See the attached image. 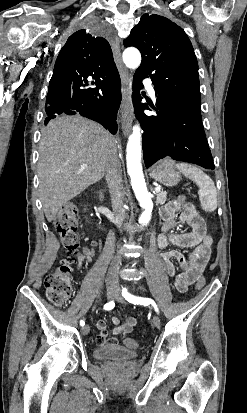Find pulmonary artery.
Listing matches in <instances>:
<instances>
[{
	"label": "pulmonary artery",
	"instance_id": "e3ab8cb5",
	"mask_svg": "<svg viewBox=\"0 0 247 413\" xmlns=\"http://www.w3.org/2000/svg\"><path fill=\"white\" fill-rule=\"evenodd\" d=\"M141 79H144V78H141ZM145 80V79H144ZM147 84V88H148V90H149V92H150V95L152 96V98H155L156 97V90H155V86H154V84L152 83V81L151 80H148V81H146L145 80V85ZM144 85V86H145ZM144 86H141V87H144Z\"/></svg>",
	"mask_w": 247,
	"mask_h": 413
}]
</instances>
